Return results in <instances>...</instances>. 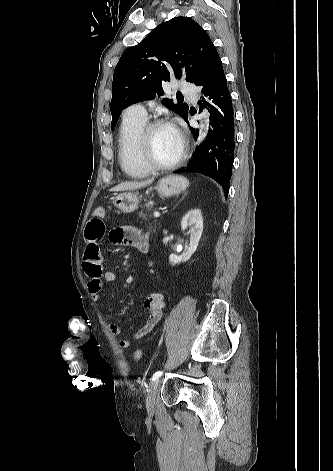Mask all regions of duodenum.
Segmentation results:
<instances>
[{"mask_svg":"<svg viewBox=\"0 0 333 471\" xmlns=\"http://www.w3.org/2000/svg\"><path fill=\"white\" fill-rule=\"evenodd\" d=\"M148 242L145 241L143 242L141 245H140V250L143 251V252H147L148 251Z\"/></svg>","mask_w":333,"mask_h":471,"instance_id":"410a0bca","label":"duodenum"}]
</instances>
